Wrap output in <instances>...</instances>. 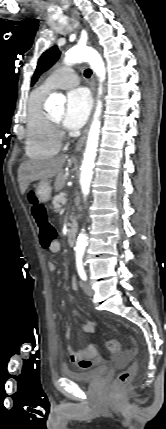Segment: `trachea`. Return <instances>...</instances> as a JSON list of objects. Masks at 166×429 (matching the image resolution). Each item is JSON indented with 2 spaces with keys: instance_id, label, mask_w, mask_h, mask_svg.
Instances as JSON below:
<instances>
[{
  "instance_id": "obj_1",
  "label": "trachea",
  "mask_w": 166,
  "mask_h": 429,
  "mask_svg": "<svg viewBox=\"0 0 166 429\" xmlns=\"http://www.w3.org/2000/svg\"><path fill=\"white\" fill-rule=\"evenodd\" d=\"M91 74H92V71L90 69H86L84 72V75L86 78H89L91 76Z\"/></svg>"
}]
</instances>
